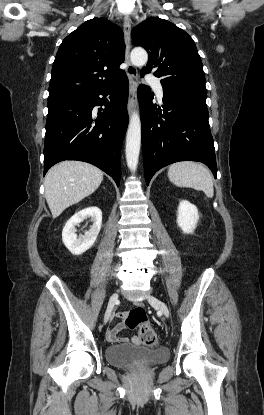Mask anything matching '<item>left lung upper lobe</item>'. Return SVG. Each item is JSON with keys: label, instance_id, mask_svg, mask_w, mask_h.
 I'll use <instances>...</instances> for the list:
<instances>
[{"label": "left lung upper lobe", "instance_id": "1", "mask_svg": "<svg viewBox=\"0 0 264 415\" xmlns=\"http://www.w3.org/2000/svg\"><path fill=\"white\" fill-rule=\"evenodd\" d=\"M132 41L149 55L141 74L155 70L163 87L207 91L202 61L193 39L175 24L150 17L132 31Z\"/></svg>", "mask_w": 264, "mask_h": 415}]
</instances>
